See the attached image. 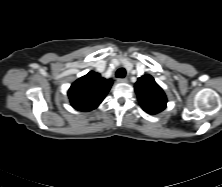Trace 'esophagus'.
Wrapping results in <instances>:
<instances>
[{"instance_id":"esophagus-1","label":"esophagus","mask_w":222,"mask_h":187,"mask_svg":"<svg viewBox=\"0 0 222 187\" xmlns=\"http://www.w3.org/2000/svg\"><path fill=\"white\" fill-rule=\"evenodd\" d=\"M127 81H128L127 78H118L117 79L118 83H126Z\"/></svg>"}]
</instances>
